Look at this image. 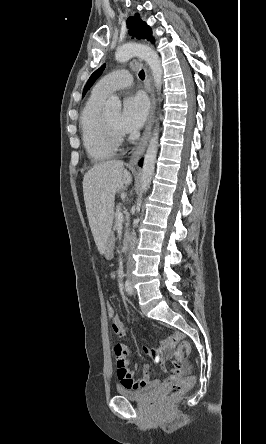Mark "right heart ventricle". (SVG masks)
Instances as JSON below:
<instances>
[{"instance_id":"e07e8e85","label":"right heart ventricle","mask_w":266,"mask_h":444,"mask_svg":"<svg viewBox=\"0 0 266 444\" xmlns=\"http://www.w3.org/2000/svg\"><path fill=\"white\" fill-rule=\"evenodd\" d=\"M107 96L92 92L81 114L80 126L84 148L94 161L111 158L116 150L104 136L102 105Z\"/></svg>"}]
</instances>
